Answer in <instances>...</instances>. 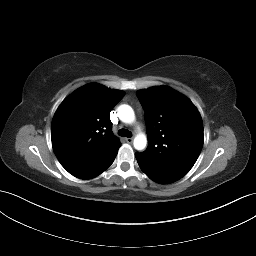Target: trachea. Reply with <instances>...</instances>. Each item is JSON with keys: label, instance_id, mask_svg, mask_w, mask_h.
<instances>
[{"label": "trachea", "instance_id": "obj_1", "mask_svg": "<svg viewBox=\"0 0 256 256\" xmlns=\"http://www.w3.org/2000/svg\"><path fill=\"white\" fill-rule=\"evenodd\" d=\"M118 135L119 136H122V137H128L130 138L132 136V133L129 131V130H126V129H120L118 131Z\"/></svg>", "mask_w": 256, "mask_h": 256}]
</instances>
